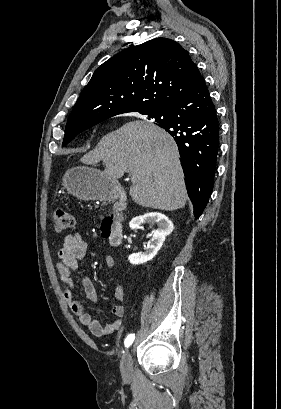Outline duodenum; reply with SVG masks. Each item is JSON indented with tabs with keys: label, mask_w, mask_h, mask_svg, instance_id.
<instances>
[{
	"label": "duodenum",
	"mask_w": 281,
	"mask_h": 409,
	"mask_svg": "<svg viewBox=\"0 0 281 409\" xmlns=\"http://www.w3.org/2000/svg\"><path fill=\"white\" fill-rule=\"evenodd\" d=\"M116 201L113 211L107 214L101 221V231L113 247H119L123 240V226L121 222V213L124 211L126 201V192L119 187L115 192Z\"/></svg>",
	"instance_id": "obj_1"
}]
</instances>
